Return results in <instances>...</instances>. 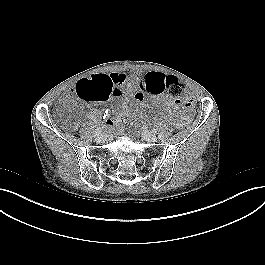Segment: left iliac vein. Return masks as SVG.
Here are the masks:
<instances>
[{
	"instance_id": "4c4485c4",
	"label": "left iliac vein",
	"mask_w": 265,
	"mask_h": 265,
	"mask_svg": "<svg viewBox=\"0 0 265 265\" xmlns=\"http://www.w3.org/2000/svg\"><path fill=\"white\" fill-rule=\"evenodd\" d=\"M142 137L148 142H156L157 141V137L147 130L142 132Z\"/></svg>"
}]
</instances>
